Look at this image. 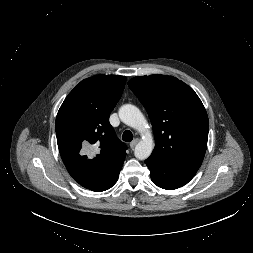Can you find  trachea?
<instances>
[{"label":"trachea","mask_w":253,"mask_h":253,"mask_svg":"<svg viewBox=\"0 0 253 253\" xmlns=\"http://www.w3.org/2000/svg\"><path fill=\"white\" fill-rule=\"evenodd\" d=\"M122 139H123V141H125V142H131L132 139H133V134H132V132L129 131V130L124 131V133H123V135H122Z\"/></svg>","instance_id":"obj_1"}]
</instances>
